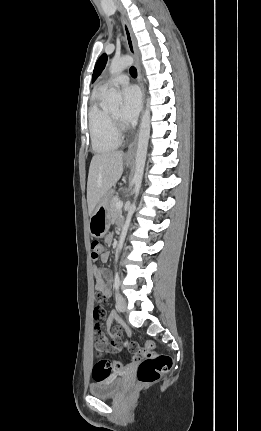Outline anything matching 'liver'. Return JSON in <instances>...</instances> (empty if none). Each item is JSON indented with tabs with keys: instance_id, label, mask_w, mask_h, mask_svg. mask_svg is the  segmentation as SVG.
<instances>
[{
	"instance_id": "1",
	"label": "liver",
	"mask_w": 261,
	"mask_h": 431,
	"mask_svg": "<svg viewBox=\"0 0 261 431\" xmlns=\"http://www.w3.org/2000/svg\"><path fill=\"white\" fill-rule=\"evenodd\" d=\"M123 157L122 151L96 154L92 157L87 182V203L90 216L100 200L122 176Z\"/></svg>"
}]
</instances>
